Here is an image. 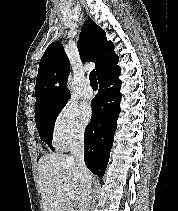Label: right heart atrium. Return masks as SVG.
I'll list each match as a JSON object with an SVG mask.
<instances>
[{
	"label": "right heart atrium",
	"instance_id": "right-heart-atrium-1",
	"mask_svg": "<svg viewBox=\"0 0 178 211\" xmlns=\"http://www.w3.org/2000/svg\"><path fill=\"white\" fill-rule=\"evenodd\" d=\"M52 131L56 143L63 148L83 140L86 124L82 121L79 110L73 103H65L56 113Z\"/></svg>",
	"mask_w": 178,
	"mask_h": 211
}]
</instances>
